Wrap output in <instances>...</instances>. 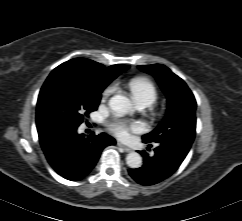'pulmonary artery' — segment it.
<instances>
[{
  "instance_id": "e3ab8cb5",
  "label": "pulmonary artery",
  "mask_w": 242,
  "mask_h": 221,
  "mask_svg": "<svg viewBox=\"0 0 242 221\" xmlns=\"http://www.w3.org/2000/svg\"><path fill=\"white\" fill-rule=\"evenodd\" d=\"M137 105H138V108H140V109L147 107V104H145V103H137Z\"/></svg>"
}]
</instances>
